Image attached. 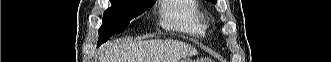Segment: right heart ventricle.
<instances>
[{
	"label": "right heart ventricle",
	"mask_w": 331,
	"mask_h": 62,
	"mask_svg": "<svg viewBox=\"0 0 331 62\" xmlns=\"http://www.w3.org/2000/svg\"><path fill=\"white\" fill-rule=\"evenodd\" d=\"M165 27L193 36H204L207 29L206 16L195 0H169L162 10Z\"/></svg>",
	"instance_id": "right-heart-ventricle-1"
}]
</instances>
